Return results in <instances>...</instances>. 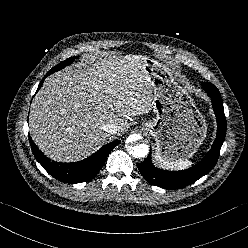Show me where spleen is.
<instances>
[{"instance_id": "3e777b00", "label": "spleen", "mask_w": 248, "mask_h": 248, "mask_svg": "<svg viewBox=\"0 0 248 248\" xmlns=\"http://www.w3.org/2000/svg\"><path fill=\"white\" fill-rule=\"evenodd\" d=\"M155 159L161 164V166L170 170H183L192 166V162L188 160L166 161L159 155H155Z\"/></svg>"}]
</instances>
